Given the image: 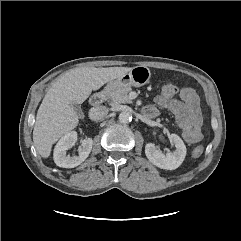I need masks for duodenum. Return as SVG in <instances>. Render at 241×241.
Masks as SVG:
<instances>
[{
    "label": "duodenum",
    "mask_w": 241,
    "mask_h": 241,
    "mask_svg": "<svg viewBox=\"0 0 241 241\" xmlns=\"http://www.w3.org/2000/svg\"><path fill=\"white\" fill-rule=\"evenodd\" d=\"M110 92V87L109 86H106L105 88H103L101 91L95 93L92 95L91 97V104L93 106H99L103 103V101L106 99L107 95L109 94ZM145 114L147 116H149L146 112Z\"/></svg>",
    "instance_id": "410a0bca"
}]
</instances>
